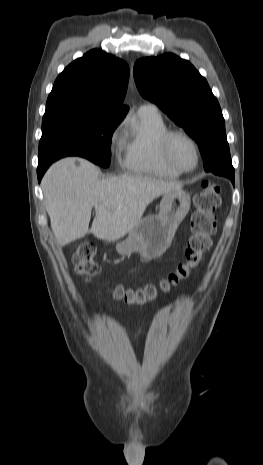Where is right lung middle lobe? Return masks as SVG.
I'll list each match as a JSON object with an SVG mask.
<instances>
[{
    "mask_svg": "<svg viewBox=\"0 0 263 465\" xmlns=\"http://www.w3.org/2000/svg\"><path fill=\"white\" fill-rule=\"evenodd\" d=\"M126 112L62 104L46 106L39 143L38 166L76 155L102 167L110 163L113 131Z\"/></svg>",
    "mask_w": 263,
    "mask_h": 465,
    "instance_id": "1",
    "label": "right lung middle lobe"
}]
</instances>
